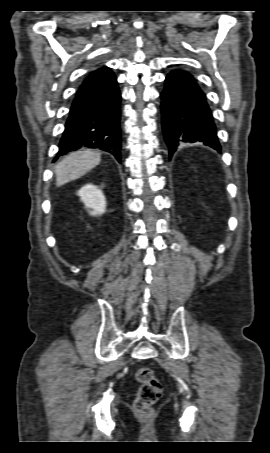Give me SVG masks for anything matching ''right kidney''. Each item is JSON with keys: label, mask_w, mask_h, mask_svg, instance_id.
<instances>
[{"label": "right kidney", "mask_w": 270, "mask_h": 453, "mask_svg": "<svg viewBox=\"0 0 270 453\" xmlns=\"http://www.w3.org/2000/svg\"><path fill=\"white\" fill-rule=\"evenodd\" d=\"M78 196L85 204L86 208L91 209L92 216L101 215L105 212L106 199L104 194L97 186L89 183L78 191Z\"/></svg>", "instance_id": "obj_1"}]
</instances>
